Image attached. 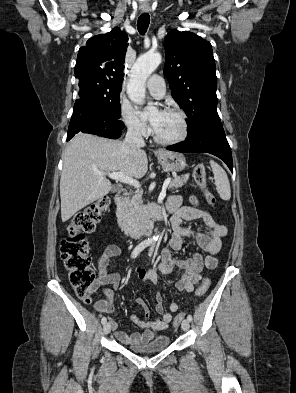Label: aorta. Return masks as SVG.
Masks as SVG:
<instances>
[{"mask_svg":"<svg viewBox=\"0 0 296 393\" xmlns=\"http://www.w3.org/2000/svg\"><path fill=\"white\" fill-rule=\"evenodd\" d=\"M161 60V55L159 53H146L141 55L134 63L127 88L128 96L133 103L137 105H142L144 103L146 80L160 65ZM155 111V107H147L142 115H148ZM157 240L158 236H153L152 241L155 242Z\"/></svg>","mask_w":296,"mask_h":393,"instance_id":"1","label":"aorta"}]
</instances>
